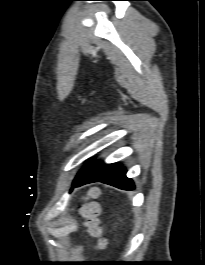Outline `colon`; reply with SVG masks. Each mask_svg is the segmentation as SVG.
<instances>
[{
    "instance_id": "1",
    "label": "colon",
    "mask_w": 205,
    "mask_h": 265,
    "mask_svg": "<svg viewBox=\"0 0 205 265\" xmlns=\"http://www.w3.org/2000/svg\"><path fill=\"white\" fill-rule=\"evenodd\" d=\"M96 192L91 191L88 193L86 202L81 206L80 212L85 219L86 226L90 234L98 238L97 248L103 249L106 246V242L99 236L98 224V205L92 199L95 198Z\"/></svg>"
}]
</instances>
